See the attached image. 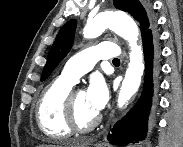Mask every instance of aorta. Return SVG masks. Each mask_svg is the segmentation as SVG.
<instances>
[{
  "instance_id": "obj_1",
  "label": "aorta",
  "mask_w": 183,
  "mask_h": 147,
  "mask_svg": "<svg viewBox=\"0 0 183 147\" xmlns=\"http://www.w3.org/2000/svg\"><path fill=\"white\" fill-rule=\"evenodd\" d=\"M107 28L128 41L130 46V62L119 91L117 104L122 108L138 91L143 75V52L137 45L139 29L134 20L122 12H102L89 20L83 29L86 39L96 38Z\"/></svg>"
}]
</instances>
